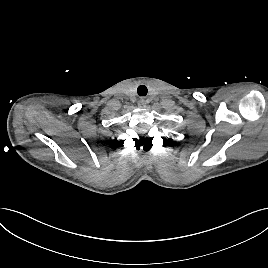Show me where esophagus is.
<instances>
[{
  "label": "esophagus",
  "mask_w": 268,
  "mask_h": 268,
  "mask_svg": "<svg viewBox=\"0 0 268 268\" xmlns=\"http://www.w3.org/2000/svg\"><path fill=\"white\" fill-rule=\"evenodd\" d=\"M138 107L139 108H144L146 106V100L144 97H141L139 100H138Z\"/></svg>",
  "instance_id": "34e87169"
}]
</instances>
